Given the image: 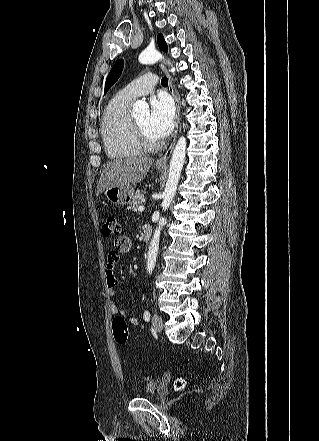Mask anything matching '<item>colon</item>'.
Masks as SVG:
<instances>
[{"mask_svg":"<svg viewBox=\"0 0 319 441\" xmlns=\"http://www.w3.org/2000/svg\"><path fill=\"white\" fill-rule=\"evenodd\" d=\"M120 233V224L117 215L110 213L106 216L102 225V234L104 236H117ZM112 331L117 343L123 344L128 339V326L125 318L116 316L112 320ZM176 385L183 386V379H178Z\"/></svg>","mask_w":319,"mask_h":441,"instance_id":"obj_1","label":"colon"}]
</instances>
